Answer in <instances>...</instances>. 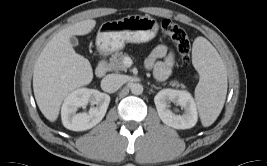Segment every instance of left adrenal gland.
Instances as JSON below:
<instances>
[{
    "mask_svg": "<svg viewBox=\"0 0 267 166\" xmlns=\"http://www.w3.org/2000/svg\"><path fill=\"white\" fill-rule=\"evenodd\" d=\"M151 87H153L155 89H160L159 87H156L155 85H152Z\"/></svg>",
    "mask_w": 267,
    "mask_h": 166,
    "instance_id": "left-adrenal-gland-1",
    "label": "left adrenal gland"
}]
</instances>
